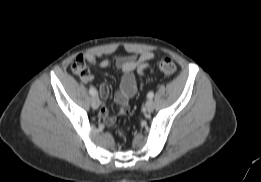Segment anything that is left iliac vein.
Here are the masks:
<instances>
[{
    "label": "left iliac vein",
    "instance_id": "4c4485c4",
    "mask_svg": "<svg viewBox=\"0 0 261 182\" xmlns=\"http://www.w3.org/2000/svg\"><path fill=\"white\" fill-rule=\"evenodd\" d=\"M145 110L147 112H152L154 110V102L151 99L146 102Z\"/></svg>",
    "mask_w": 261,
    "mask_h": 182
}]
</instances>
